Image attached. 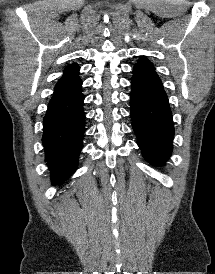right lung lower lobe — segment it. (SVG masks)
<instances>
[{"label": "right lung lower lobe", "instance_id": "obj_1", "mask_svg": "<svg viewBox=\"0 0 215 274\" xmlns=\"http://www.w3.org/2000/svg\"><path fill=\"white\" fill-rule=\"evenodd\" d=\"M83 101L80 87L68 97L48 105L42 143L54 183L70 176L77 168L85 132Z\"/></svg>", "mask_w": 215, "mask_h": 274}]
</instances>
